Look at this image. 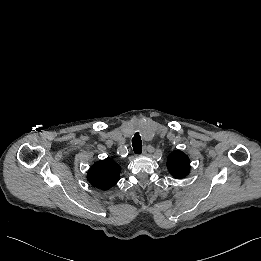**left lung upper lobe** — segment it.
<instances>
[{
  "instance_id": "1",
  "label": "left lung upper lobe",
  "mask_w": 261,
  "mask_h": 261,
  "mask_svg": "<svg viewBox=\"0 0 261 261\" xmlns=\"http://www.w3.org/2000/svg\"><path fill=\"white\" fill-rule=\"evenodd\" d=\"M167 168L174 178H183L189 174L190 160L185 153L174 151L168 156Z\"/></svg>"
}]
</instances>
